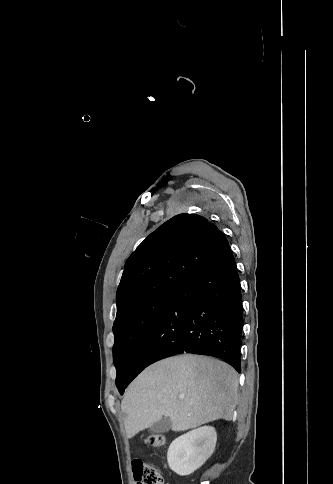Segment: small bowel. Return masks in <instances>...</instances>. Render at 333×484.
<instances>
[{
	"label": "small bowel",
	"mask_w": 333,
	"mask_h": 484,
	"mask_svg": "<svg viewBox=\"0 0 333 484\" xmlns=\"http://www.w3.org/2000/svg\"><path fill=\"white\" fill-rule=\"evenodd\" d=\"M143 462L140 460V459H134L132 461V470H133V473H134V477L135 479L137 480V473H138V470L141 466Z\"/></svg>",
	"instance_id": "small-bowel-1"
}]
</instances>
